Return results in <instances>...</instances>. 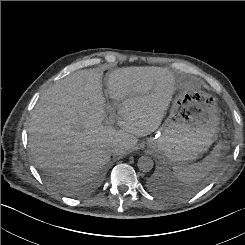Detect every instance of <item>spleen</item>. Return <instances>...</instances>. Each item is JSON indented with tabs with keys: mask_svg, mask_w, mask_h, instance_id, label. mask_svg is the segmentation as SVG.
<instances>
[{
	"mask_svg": "<svg viewBox=\"0 0 245 245\" xmlns=\"http://www.w3.org/2000/svg\"><path fill=\"white\" fill-rule=\"evenodd\" d=\"M223 143L219 142L201 162L188 166L176 165L173 167L175 177L185 184H192L202 180L217 166Z\"/></svg>",
	"mask_w": 245,
	"mask_h": 245,
	"instance_id": "3e777b00",
	"label": "spleen"
}]
</instances>
